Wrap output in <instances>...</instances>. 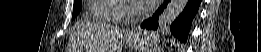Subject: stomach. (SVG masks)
Instances as JSON below:
<instances>
[{
  "instance_id": "0dacf381",
  "label": "stomach",
  "mask_w": 261,
  "mask_h": 52,
  "mask_svg": "<svg viewBox=\"0 0 261 52\" xmlns=\"http://www.w3.org/2000/svg\"><path fill=\"white\" fill-rule=\"evenodd\" d=\"M158 40V36L155 33H144L134 38H129L128 42L131 47L140 48V50L146 52V50L153 48Z\"/></svg>"
}]
</instances>
